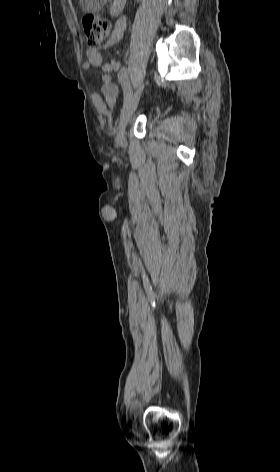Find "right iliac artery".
Returning a JSON list of instances; mask_svg holds the SVG:
<instances>
[{
  "label": "right iliac artery",
  "mask_w": 280,
  "mask_h": 472,
  "mask_svg": "<svg viewBox=\"0 0 280 472\" xmlns=\"http://www.w3.org/2000/svg\"><path fill=\"white\" fill-rule=\"evenodd\" d=\"M129 69L122 68L118 74L120 84L124 92V106L129 102L132 97V91L128 79Z\"/></svg>",
  "instance_id": "right-iliac-artery-1"
}]
</instances>
